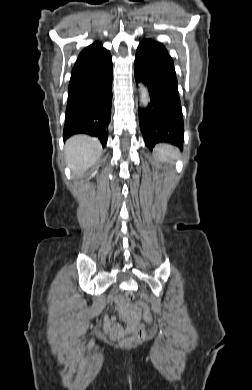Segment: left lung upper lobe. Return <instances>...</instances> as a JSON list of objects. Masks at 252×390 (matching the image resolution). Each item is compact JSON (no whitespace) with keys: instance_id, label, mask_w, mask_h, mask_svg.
Listing matches in <instances>:
<instances>
[{"instance_id":"obj_1","label":"left lung upper lobe","mask_w":252,"mask_h":390,"mask_svg":"<svg viewBox=\"0 0 252 390\" xmlns=\"http://www.w3.org/2000/svg\"><path fill=\"white\" fill-rule=\"evenodd\" d=\"M145 40L153 41V40H151V39H145ZM154 42H155V41H154ZM156 43H158L159 45H161V46L164 48L163 44H161V43H159V42H156Z\"/></svg>"}]
</instances>
